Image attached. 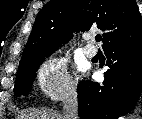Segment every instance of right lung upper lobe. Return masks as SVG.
<instances>
[{
    "instance_id": "obj_1",
    "label": "right lung upper lobe",
    "mask_w": 142,
    "mask_h": 119,
    "mask_svg": "<svg viewBox=\"0 0 142 119\" xmlns=\"http://www.w3.org/2000/svg\"><path fill=\"white\" fill-rule=\"evenodd\" d=\"M103 31V49L142 32V18L135 0H51L39 12L19 67L54 52L72 32Z\"/></svg>"
}]
</instances>
